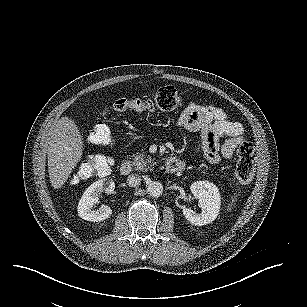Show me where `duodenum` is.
I'll use <instances>...</instances> for the list:
<instances>
[{
  "label": "duodenum",
  "instance_id": "410a0bca",
  "mask_svg": "<svg viewBox=\"0 0 307 307\" xmlns=\"http://www.w3.org/2000/svg\"><path fill=\"white\" fill-rule=\"evenodd\" d=\"M184 168L183 162L176 158H169L165 163V170L169 174H175L182 171ZM132 171V164L130 161H124L120 165V172L122 175H128Z\"/></svg>",
  "mask_w": 307,
  "mask_h": 307
}]
</instances>
